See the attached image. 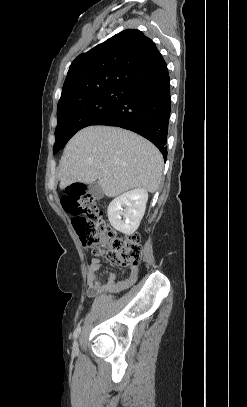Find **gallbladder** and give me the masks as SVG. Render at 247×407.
<instances>
[{
	"instance_id": "bac80fb5",
	"label": "gallbladder",
	"mask_w": 247,
	"mask_h": 407,
	"mask_svg": "<svg viewBox=\"0 0 247 407\" xmlns=\"http://www.w3.org/2000/svg\"><path fill=\"white\" fill-rule=\"evenodd\" d=\"M89 193L97 200L103 197V191L98 181H95L88 186Z\"/></svg>"
}]
</instances>
